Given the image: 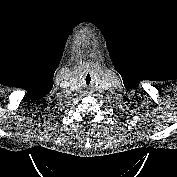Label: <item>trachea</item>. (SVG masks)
I'll list each match as a JSON object with an SVG mask.
<instances>
[{
  "label": "trachea",
  "mask_w": 177,
  "mask_h": 177,
  "mask_svg": "<svg viewBox=\"0 0 177 177\" xmlns=\"http://www.w3.org/2000/svg\"><path fill=\"white\" fill-rule=\"evenodd\" d=\"M85 80H86V82L88 81V82L90 83V81H91V77H90L89 74L86 76Z\"/></svg>",
  "instance_id": "trachea-1"
}]
</instances>
